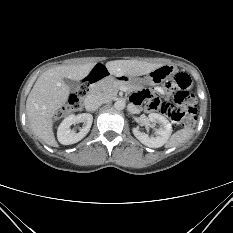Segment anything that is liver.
<instances>
[{
    "instance_id": "obj_1",
    "label": "liver",
    "mask_w": 233,
    "mask_h": 233,
    "mask_svg": "<svg viewBox=\"0 0 233 233\" xmlns=\"http://www.w3.org/2000/svg\"><path fill=\"white\" fill-rule=\"evenodd\" d=\"M95 63L53 67L39 76L26 101L27 119L32 131L50 146H58L53 133L52 118L68 100L70 89L64 79L80 81L87 77ZM110 74L141 76L162 64L136 60H115L106 63Z\"/></svg>"
}]
</instances>
